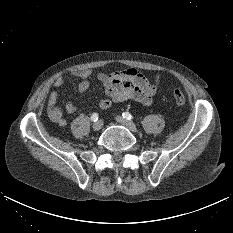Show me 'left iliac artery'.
Masks as SVG:
<instances>
[{"mask_svg":"<svg viewBox=\"0 0 233 233\" xmlns=\"http://www.w3.org/2000/svg\"><path fill=\"white\" fill-rule=\"evenodd\" d=\"M122 116H123V118H125L127 120L133 119V117L131 116V114L129 112H123Z\"/></svg>","mask_w":233,"mask_h":233,"instance_id":"44dca946","label":"left iliac artery"}]
</instances>
